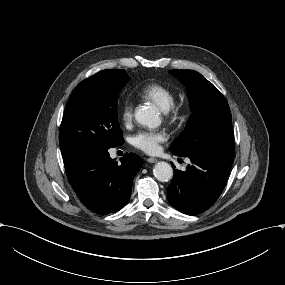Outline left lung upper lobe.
I'll list each match as a JSON object with an SVG mask.
<instances>
[{
	"mask_svg": "<svg viewBox=\"0 0 285 285\" xmlns=\"http://www.w3.org/2000/svg\"><path fill=\"white\" fill-rule=\"evenodd\" d=\"M186 88L192 114L185 130L170 146L177 156L209 150L234 151L231 113L220 91L201 74L193 70H171Z\"/></svg>",
	"mask_w": 285,
	"mask_h": 285,
	"instance_id": "5c2ea615",
	"label": "left lung upper lobe"
}]
</instances>
